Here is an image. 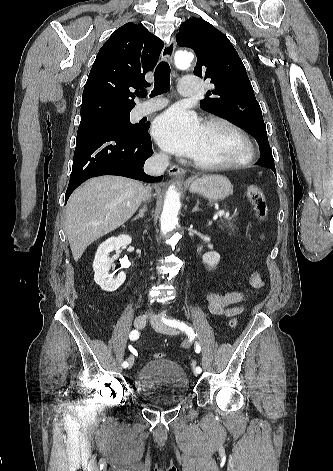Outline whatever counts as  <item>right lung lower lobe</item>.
Here are the masks:
<instances>
[{
	"label": "right lung lower lobe",
	"mask_w": 333,
	"mask_h": 471,
	"mask_svg": "<svg viewBox=\"0 0 333 471\" xmlns=\"http://www.w3.org/2000/svg\"><path fill=\"white\" fill-rule=\"evenodd\" d=\"M150 123L136 129L98 124L79 127L72 172L65 194L71 193L89 178L118 175L144 182H160L163 176L147 175L143 166L153 154L148 134Z\"/></svg>",
	"instance_id": "right-lung-lower-lobe-1"
}]
</instances>
